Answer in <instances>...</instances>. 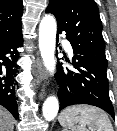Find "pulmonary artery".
Masks as SVG:
<instances>
[{
    "mask_svg": "<svg viewBox=\"0 0 117 131\" xmlns=\"http://www.w3.org/2000/svg\"><path fill=\"white\" fill-rule=\"evenodd\" d=\"M64 46H65L66 51H67L70 55H72L73 51H72V47H71V45L69 44V42L64 41Z\"/></svg>",
    "mask_w": 117,
    "mask_h": 131,
    "instance_id": "1",
    "label": "pulmonary artery"
}]
</instances>
